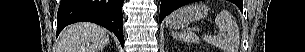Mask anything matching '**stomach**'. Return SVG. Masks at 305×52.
<instances>
[{
    "instance_id": "obj_1",
    "label": "stomach",
    "mask_w": 305,
    "mask_h": 52,
    "mask_svg": "<svg viewBox=\"0 0 305 52\" xmlns=\"http://www.w3.org/2000/svg\"><path fill=\"white\" fill-rule=\"evenodd\" d=\"M208 7L205 4H193L183 6L166 18V25L172 29L187 27L191 22L199 21L208 15Z\"/></svg>"
}]
</instances>
